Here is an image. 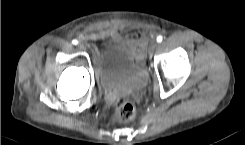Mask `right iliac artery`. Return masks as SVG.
Here are the masks:
<instances>
[{
    "label": "right iliac artery",
    "mask_w": 245,
    "mask_h": 145,
    "mask_svg": "<svg viewBox=\"0 0 245 145\" xmlns=\"http://www.w3.org/2000/svg\"><path fill=\"white\" fill-rule=\"evenodd\" d=\"M72 43H73L74 45H76L78 42H77V40L74 39V40L72 41Z\"/></svg>",
    "instance_id": "obj_1"
}]
</instances>
